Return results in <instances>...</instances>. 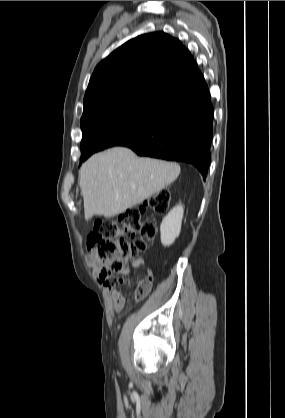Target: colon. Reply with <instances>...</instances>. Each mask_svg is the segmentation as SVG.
Masks as SVG:
<instances>
[{
    "mask_svg": "<svg viewBox=\"0 0 285 418\" xmlns=\"http://www.w3.org/2000/svg\"><path fill=\"white\" fill-rule=\"evenodd\" d=\"M168 190H160L148 202L128 209L118 219H98L86 240L89 259H97L101 268L97 276L99 284L113 287L121 283V276L128 273V262L147 249V243L156 235V227L144 221L147 214H164L169 205ZM140 239L130 241L126 236ZM149 292L147 284L140 280L135 296L143 299Z\"/></svg>",
    "mask_w": 285,
    "mask_h": 418,
    "instance_id": "1",
    "label": "colon"
}]
</instances>
